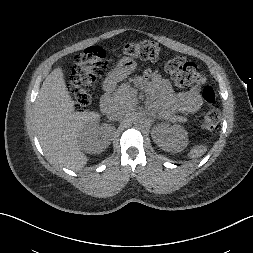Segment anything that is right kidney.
I'll use <instances>...</instances> for the list:
<instances>
[{
  "instance_id": "ca27d5eb",
  "label": "right kidney",
  "mask_w": 253,
  "mask_h": 253,
  "mask_svg": "<svg viewBox=\"0 0 253 253\" xmlns=\"http://www.w3.org/2000/svg\"><path fill=\"white\" fill-rule=\"evenodd\" d=\"M113 132V127H99L97 122H92L81 130L79 145L86 153L99 154L110 145Z\"/></svg>"
}]
</instances>
